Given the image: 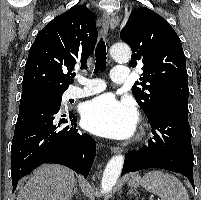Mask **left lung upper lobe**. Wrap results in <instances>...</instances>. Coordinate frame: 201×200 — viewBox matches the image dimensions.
Instances as JSON below:
<instances>
[{"label":"left lung upper lobe","mask_w":201,"mask_h":200,"mask_svg":"<svg viewBox=\"0 0 201 200\" xmlns=\"http://www.w3.org/2000/svg\"><path fill=\"white\" fill-rule=\"evenodd\" d=\"M120 37L131 47L130 66L143 63L141 82L135 83L132 92L145 114L165 101L188 102V76L182 44L163 17L146 7L134 9Z\"/></svg>","instance_id":"left-lung-upper-lobe-1"}]
</instances>
